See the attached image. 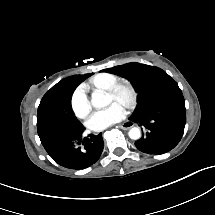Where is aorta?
Wrapping results in <instances>:
<instances>
[{"mask_svg": "<svg viewBox=\"0 0 215 215\" xmlns=\"http://www.w3.org/2000/svg\"><path fill=\"white\" fill-rule=\"evenodd\" d=\"M112 102V97L104 91L98 90L93 92L91 95V104L94 108H103L110 105ZM129 137L133 140H138L141 137V131L137 127H133L129 130Z\"/></svg>", "mask_w": 215, "mask_h": 215, "instance_id": "obj_1", "label": "aorta"}]
</instances>
